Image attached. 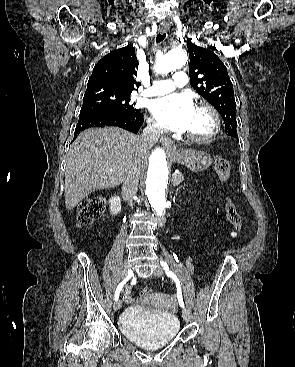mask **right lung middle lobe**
Returning <instances> with one entry per match:
<instances>
[{"mask_svg": "<svg viewBox=\"0 0 295 367\" xmlns=\"http://www.w3.org/2000/svg\"><path fill=\"white\" fill-rule=\"evenodd\" d=\"M135 104V103H134ZM130 103V94H121L108 89L86 90L80 115L88 113H138Z\"/></svg>", "mask_w": 295, "mask_h": 367, "instance_id": "dd1d6c3e", "label": "right lung middle lobe"}]
</instances>
